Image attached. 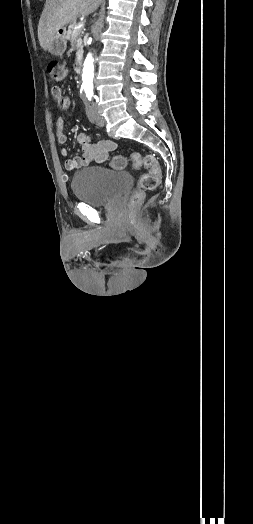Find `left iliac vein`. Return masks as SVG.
Here are the masks:
<instances>
[{"instance_id":"1","label":"left iliac vein","mask_w":253,"mask_h":524,"mask_svg":"<svg viewBox=\"0 0 253 524\" xmlns=\"http://www.w3.org/2000/svg\"><path fill=\"white\" fill-rule=\"evenodd\" d=\"M93 108V112H94V115H95V120H96V124L100 127L104 126L105 124V120L99 116L98 114V111H97V107L95 105L92 106Z\"/></svg>"}]
</instances>
